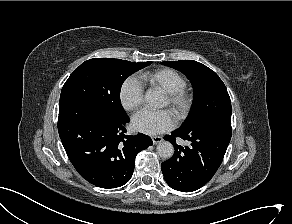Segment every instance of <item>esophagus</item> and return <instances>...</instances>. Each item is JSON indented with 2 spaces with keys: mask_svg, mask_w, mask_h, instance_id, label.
<instances>
[{
  "mask_svg": "<svg viewBox=\"0 0 292 224\" xmlns=\"http://www.w3.org/2000/svg\"><path fill=\"white\" fill-rule=\"evenodd\" d=\"M152 141H153V144H158L160 142L163 141V138L161 136H152Z\"/></svg>",
  "mask_w": 292,
  "mask_h": 224,
  "instance_id": "1",
  "label": "esophagus"
}]
</instances>
